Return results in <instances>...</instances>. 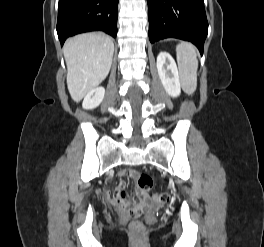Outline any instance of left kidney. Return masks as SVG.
<instances>
[{
	"mask_svg": "<svg viewBox=\"0 0 264 247\" xmlns=\"http://www.w3.org/2000/svg\"><path fill=\"white\" fill-rule=\"evenodd\" d=\"M157 70L159 78L167 94L177 97L181 93V84L176 63L167 52H160L157 57Z\"/></svg>",
	"mask_w": 264,
	"mask_h": 247,
	"instance_id": "obj_1",
	"label": "left kidney"
}]
</instances>
